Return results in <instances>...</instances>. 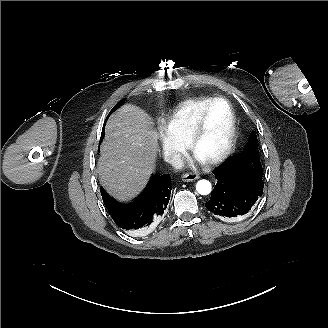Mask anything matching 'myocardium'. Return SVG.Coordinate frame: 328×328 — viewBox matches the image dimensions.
Returning <instances> with one entry per match:
<instances>
[{
    "instance_id": "f54148a6",
    "label": "myocardium",
    "mask_w": 328,
    "mask_h": 328,
    "mask_svg": "<svg viewBox=\"0 0 328 328\" xmlns=\"http://www.w3.org/2000/svg\"><path fill=\"white\" fill-rule=\"evenodd\" d=\"M225 103L230 111V118H231V124H230V132L229 137L227 140V143L225 147L215 156L210 157L208 159H203L208 164H218L222 161H224L233 151L236 139H237V118L235 109L232 105V103L224 98V97H215L213 100L208 103L199 113L192 129L189 134L188 140H187V146L188 148L195 153L196 144L201 137V134L205 128L206 118L209 113V111L217 104V103Z\"/></svg>"
}]
</instances>
